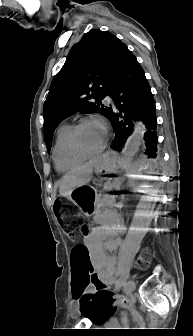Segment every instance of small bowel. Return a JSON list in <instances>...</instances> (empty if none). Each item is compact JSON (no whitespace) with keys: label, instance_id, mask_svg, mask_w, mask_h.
<instances>
[{"label":"small bowel","instance_id":"small-bowel-1","mask_svg":"<svg viewBox=\"0 0 193 336\" xmlns=\"http://www.w3.org/2000/svg\"><path fill=\"white\" fill-rule=\"evenodd\" d=\"M99 221L100 224L85 237L84 247L96 277L105 286L110 287L115 281L120 260L109 252L121 247L122 241L117 237V232L121 228L115 225L117 218L112 211H101ZM90 291L92 292V286L88 284L85 293ZM116 323L115 318H110L107 322L109 326H114Z\"/></svg>","mask_w":193,"mask_h":336}]
</instances>
